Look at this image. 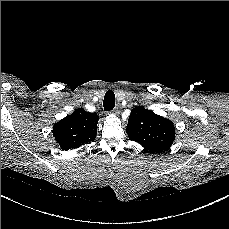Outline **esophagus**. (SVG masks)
Masks as SVG:
<instances>
[{"mask_svg": "<svg viewBox=\"0 0 229 229\" xmlns=\"http://www.w3.org/2000/svg\"><path fill=\"white\" fill-rule=\"evenodd\" d=\"M112 113H113L114 115H118V114L120 113L119 108H118V107L114 108V109L112 110Z\"/></svg>", "mask_w": 229, "mask_h": 229, "instance_id": "1", "label": "esophagus"}]
</instances>
